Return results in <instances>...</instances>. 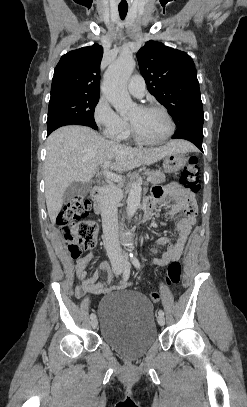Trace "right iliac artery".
<instances>
[{
  "label": "right iliac artery",
  "mask_w": 247,
  "mask_h": 407,
  "mask_svg": "<svg viewBox=\"0 0 247 407\" xmlns=\"http://www.w3.org/2000/svg\"><path fill=\"white\" fill-rule=\"evenodd\" d=\"M129 276H130V266H126L122 275L123 282L127 281L129 279ZM95 317L96 315L94 313L90 315L91 319H94Z\"/></svg>",
  "instance_id": "82829eb1"
}]
</instances>
